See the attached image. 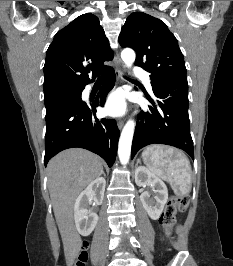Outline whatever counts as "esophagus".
<instances>
[{
    "instance_id": "obj_1",
    "label": "esophagus",
    "mask_w": 233,
    "mask_h": 266,
    "mask_svg": "<svg viewBox=\"0 0 233 266\" xmlns=\"http://www.w3.org/2000/svg\"><path fill=\"white\" fill-rule=\"evenodd\" d=\"M116 59L118 60V65L116 68V74L118 79H123L124 75V64L120 61L118 53L116 54ZM117 125L119 129H122L124 125V120L123 119H118Z\"/></svg>"
}]
</instances>
